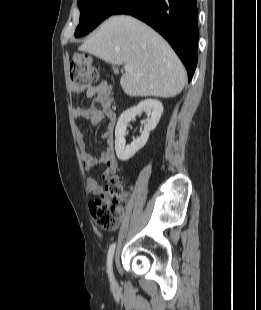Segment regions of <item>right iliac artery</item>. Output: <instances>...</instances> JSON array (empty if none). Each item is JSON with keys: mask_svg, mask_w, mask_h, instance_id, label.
<instances>
[{"mask_svg": "<svg viewBox=\"0 0 261 310\" xmlns=\"http://www.w3.org/2000/svg\"><path fill=\"white\" fill-rule=\"evenodd\" d=\"M114 251H115V243H113L109 250H108V254H107V271H108V275L110 277V280L112 281V260H113V255H114Z\"/></svg>", "mask_w": 261, "mask_h": 310, "instance_id": "82829eb1", "label": "right iliac artery"}]
</instances>
